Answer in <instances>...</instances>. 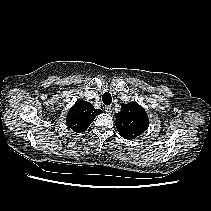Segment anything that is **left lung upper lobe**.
<instances>
[{"mask_svg":"<svg viewBox=\"0 0 211 211\" xmlns=\"http://www.w3.org/2000/svg\"><path fill=\"white\" fill-rule=\"evenodd\" d=\"M115 125L119 134L128 140L140 136L149 126L144 108L136 102L123 104L121 111L115 114Z\"/></svg>","mask_w":211,"mask_h":211,"instance_id":"obj_1","label":"left lung upper lobe"}]
</instances>
